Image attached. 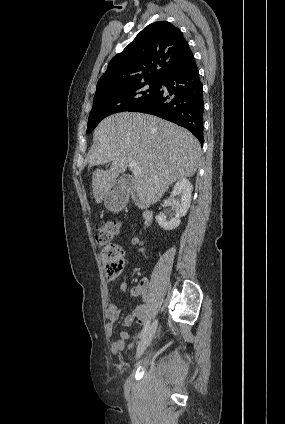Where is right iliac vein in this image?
Returning <instances> with one entry per match:
<instances>
[{
  "instance_id": "1",
  "label": "right iliac vein",
  "mask_w": 285,
  "mask_h": 424,
  "mask_svg": "<svg viewBox=\"0 0 285 424\" xmlns=\"http://www.w3.org/2000/svg\"><path fill=\"white\" fill-rule=\"evenodd\" d=\"M158 321L155 319L152 324L150 325L149 329L139 342L137 349H136V357H140L144 351L149 347L151 344L152 339L155 336L156 330H157Z\"/></svg>"
}]
</instances>
